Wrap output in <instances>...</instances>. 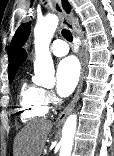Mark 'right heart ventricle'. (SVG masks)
Wrapping results in <instances>:
<instances>
[{
    "label": "right heart ventricle",
    "mask_w": 114,
    "mask_h": 156,
    "mask_svg": "<svg viewBox=\"0 0 114 156\" xmlns=\"http://www.w3.org/2000/svg\"><path fill=\"white\" fill-rule=\"evenodd\" d=\"M18 101L23 122L42 118L48 112V103L44 98V89L27 78H23L20 82Z\"/></svg>",
    "instance_id": "obj_1"
}]
</instances>
